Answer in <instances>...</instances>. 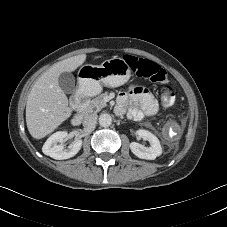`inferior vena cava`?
Returning <instances> with one entry per match:
<instances>
[{
	"instance_id": "602c4592",
	"label": "inferior vena cava",
	"mask_w": 227,
	"mask_h": 227,
	"mask_svg": "<svg viewBox=\"0 0 227 227\" xmlns=\"http://www.w3.org/2000/svg\"><path fill=\"white\" fill-rule=\"evenodd\" d=\"M97 117L96 113L86 115L83 120V126L88 129L94 128L97 123Z\"/></svg>"
}]
</instances>
